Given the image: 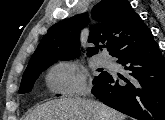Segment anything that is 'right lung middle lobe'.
<instances>
[{"instance_id": "dd1d6c3e", "label": "right lung middle lobe", "mask_w": 165, "mask_h": 120, "mask_svg": "<svg viewBox=\"0 0 165 120\" xmlns=\"http://www.w3.org/2000/svg\"><path fill=\"white\" fill-rule=\"evenodd\" d=\"M57 60L58 59H47L28 65L22 77L19 93L24 94L30 92L35 80L38 78L41 72L55 63ZM107 75L108 73L106 71H102L100 75L95 78L93 83L104 79Z\"/></svg>"}]
</instances>
